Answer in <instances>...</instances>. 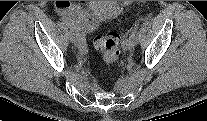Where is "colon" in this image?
<instances>
[{"label": "colon", "instance_id": "obj_1", "mask_svg": "<svg viewBox=\"0 0 207 121\" xmlns=\"http://www.w3.org/2000/svg\"><path fill=\"white\" fill-rule=\"evenodd\" d=\"M120 36L116 32H109L105 36L96 37L95 48L101 52L103 59L108 64H115L120 56Z\"/></svg>", "mask_w": 207, "mask_h": 121}]
</instances>
